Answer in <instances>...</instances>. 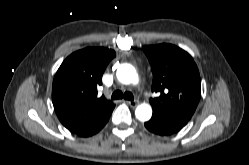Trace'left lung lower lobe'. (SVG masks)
<instances>
[{
	"label": "left lung lower lobe",
	"mask_w": 249,
	"mask_h": 165,
	"mask_svg": "<svg viewBox=\"0 0 249 165\" xmlns=\"http://www.w3.org/2000/svg\"><path fill=\"white\" fill-rule=\"evenodd\" d=\"M188 121L185 118L153 109L152 118L144 125L155 134L168 136L181 130Z\"/></svg>",
	"instance_id": "1"
}]
</instances>
